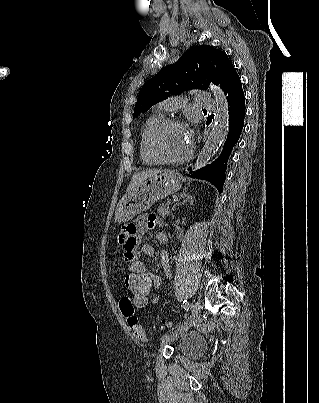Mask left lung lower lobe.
<instances>
[{
  "label": "left lung lower lobe",
  "instance_id": "left-lung-lower-lobe-1",
  "mask_svg": "<svg viewBox=\"0 0 319 403\" xmlns=\"http://www.w3.org/2000/svg\"><path fill=\"white\" fill-rule=\"evenodd\" d=\"M220 88L223 89L227 96L229 107V132L227 139L220 156L212 164L206 165L193 173L190 171L191 174L189 175L193 178L211 182L216 186L219 193L223 191L227 162L233 147L240 137L245 117V97L241 80L233 64L224 73ZM188 170H191V168Z\"/></svg>",
  "mask_w": 319,
  "mask_h": 403
}]
</instances>
